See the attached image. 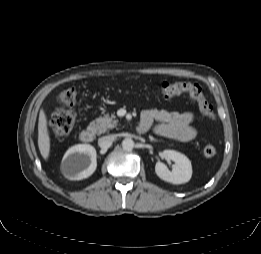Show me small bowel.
<instances>
[{
	"label": "small bowel",
	"instance_id": "1",
	"mask_svg": "<svg viewBox=\"0 0 261 254\" xmlns=\"http://www.w3.org/2000/svg\"><path fill=\"white\" fill-rule=\"evenodd\" d=\"M196 115L192 111L171 112L150 109L143 112L139 126L146 132L153 124L157 135L175 139L180 142H190L197 137V131L192 127Z\"/></svg>",
	"mask_w": 261,
	"mask_h": 254
}]
</instances>
